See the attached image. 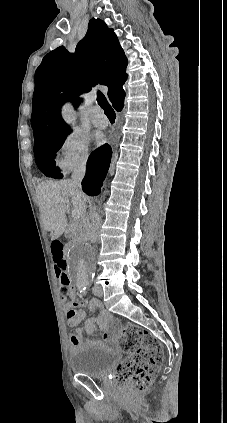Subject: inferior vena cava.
Returning <instances> with one entry per match:
<instances>
[{
  "label": "inferior vena cava",
  "instance_id": "obj_1",
  "mask_svg": "<svg viewBox=\"0 0 227 423\" xmlns=\"http://www.w3.org/2000/svg\"><path fill=\"white\" fill-rule=\"evenodd\" d=\"M85 172H86V160H84V162H80V164H76L73 170L72 184H74L75 188H77L79 192H82L81 182L85 176ZM91 219H92V223H87L85 229L88 233V239L90 243H96L98 239L96 229H97V225H100L101 219H99V217H95V215H93Z\"/></svg>",
  "mask_w": 227,
  "mask_h": 423
}]
</instances>
